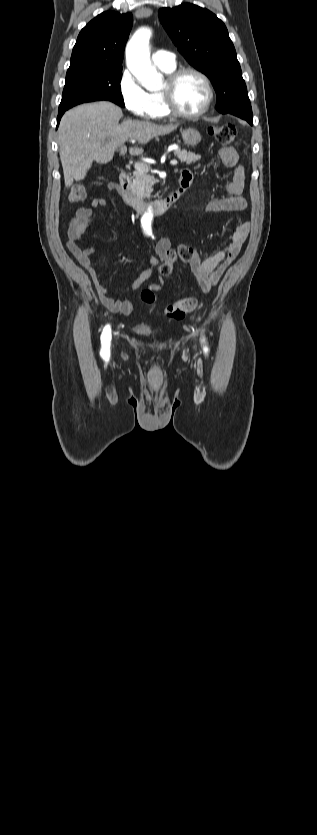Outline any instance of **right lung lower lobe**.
I'll use <instances>...</instances> for the list:
<instances>
[{
    "label": "right lung lower lobe",
    "mask_w": 317,
    "mask_h": 835,
    "mask_svg": "<svg viewBox=\"0 0 317 835\" xmlns=\"http://www.w3.org/2000/svg\"><path fill=\"white\" fill-rule=\"evenodd\" d=\"M66 110L59 111L58 118H57V127L59 125L60 119Z\"/></svg>",
    "instance_id": "obj_1"
}]
</instances>
